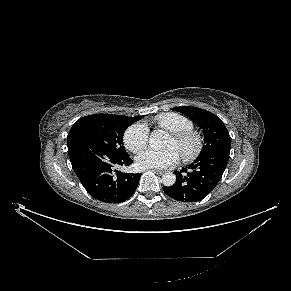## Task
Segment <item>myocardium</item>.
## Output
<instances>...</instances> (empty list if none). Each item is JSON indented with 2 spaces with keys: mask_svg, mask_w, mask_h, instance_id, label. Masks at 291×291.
<instances>
[{
  "mask_svg": "<svg viewBox=\"0 0 291 291\" xmlns=\"http://www.w3.org/2000/svg\"><path fill=\"white\" fill-rule=\"evenodd\" d=\"M171 136L175 139L177 144L181 146H188L181 154L184 161L194 160L203 148L204 138L197 130L188 129L173 132Z\"/></svg>",
  "mask_w": 291,
  "mask_h": 291,
  "instance_id": "1",
  "label": "myocardium"
}]
</instances>
